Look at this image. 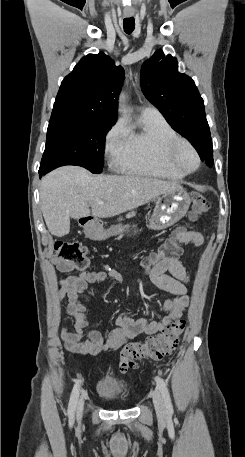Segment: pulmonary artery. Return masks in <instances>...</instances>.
Here are the masks:
<instances>
[{
    "label": "pulmonary artery",
    "mask_w": 245,
    "mask_h": 457,
    "mask_svg": "<svg viewBox=\"0 0 245 457\" xmlns=\"http://www.w3.org/2000/svg\"><path fill=\"white\" fill-rule=\"evenodd\" d=\"M139 110H140L142 116H151V115L160 114L158 109L152 105H141V106H139Z\"/></svg>",
    "instance_id": "obj_1"
}]
</instances>
